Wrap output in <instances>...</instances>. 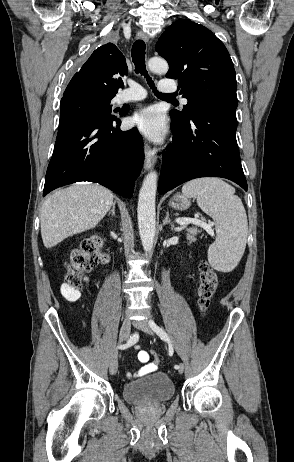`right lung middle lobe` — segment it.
Wrapping results in <instances>:
<instances>
[{
  "mask_svg": "<svg viewBox=\"0 0 294 462\" xmlns=\"http://www.w3.org/2000/svg\"><path fill=\"white\" fill-rule=\"evenodd\" d=\"M93 93H75L61 99L59 126L67 123L103 119L114 120L111 115V99Z\"/></svg>",
  "mask_w": 294,
  "mask_h": 462,
  "instance_id": "obj_1",
  "label": "right lung middle lobe"
}]
</instances>
